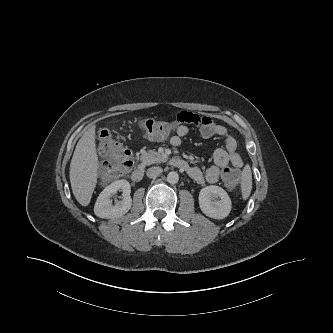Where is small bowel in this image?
Returning a JSON list of instances; mask_svg holds the SVG:
<instances>
[{
  "label": "small bowel",
  "instance_id": "1",
  "mask_svg": "<svg viewBox=\"0 0 333 333\" xmlns=\"http://www.w3.org/2000/svg\"><path fill=\"white\" fill-rule=\"evenodd\" d=\"M179 125L176 129V135L170 139V144L178 147L182 143V138L189 135V128L186 124H196L199 126V134L202 138L208 139L214 136H220L224 139V146L217 148L213 153L214 164L206 171L198 167H189L188 174L198 183L214 184L219 181L223 171L232 165L235 169L243 166V160L237 152V143L235 139L228 134L227 129L212 121L209 117L199 116L191 112H181L178 115Z\"/></svg>",
  "mask_w": 333,
  "mask_h": 333
}]
</instances>
